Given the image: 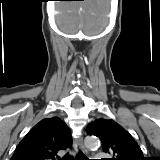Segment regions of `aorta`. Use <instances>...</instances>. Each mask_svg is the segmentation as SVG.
<instances>
[{"label": "aorta", "mask_w": 160, "mask_h": 160, "mask_svg": "<svg viewBox=\"0 0 160 160\" xmlns=\"http://www.w3.org/2000/svg\"><path fill=\"white\" fill-rule=\"evenodd\" d=\"M99 144L100 142L96 137H88L85 139V145L88 148H96Z\"/></svg>", "instance_id": "obj_1"}]
</instances>
